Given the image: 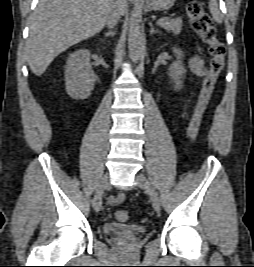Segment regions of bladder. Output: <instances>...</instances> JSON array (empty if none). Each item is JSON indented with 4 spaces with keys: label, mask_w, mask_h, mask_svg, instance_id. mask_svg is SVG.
Segmentation results:
<instances>
[{
    "label": "bladder",
    "mask_w": 254,
    "mask_h": 267,
    "mask_svg": "<svg viewBox=\"0 0 254 267\" xmlns=\"http://www.w3.org/2000/svg\"><path fill=\"white\" fill-rule=\"evenodd\" d=\"M103 230L108 236L120 237H139L146 232L142 226L122 225L118 223H107L104 225Z\"/></svg>",
    "instance_id": "31cf9c89"
}]
</instances>
